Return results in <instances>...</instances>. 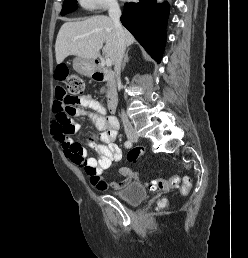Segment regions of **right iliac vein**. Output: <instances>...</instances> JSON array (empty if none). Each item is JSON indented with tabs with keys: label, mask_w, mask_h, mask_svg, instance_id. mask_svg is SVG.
<instances>
[{
	"label": "right iliac vein",
	"mask_w": 248,
	"mask_h": 258,
	"mask_svg": "<svg viewBox=\"0 0 248 258\" xmlns=\"http://www.w3.org/2000/svg\"><path fill=\"white\" fill-rule=\"evenodd\" d=\"M140 137H141L140 134L137 132H129L128 133V138L132 141H135V140L139 139Z\"/></svg>",
	"instance_id": "right-iliac-vein-1"
}]
</instances>
